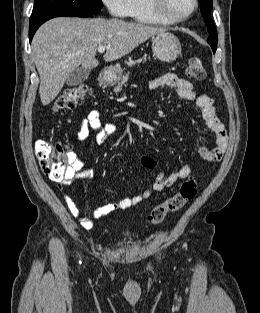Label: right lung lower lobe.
<instances>
[{
    "instance_id": "obj_1",
    "label": "right lung lower lobe",
    "mask_w": 260,
    "mask_h": 313,
    "mask_svg": "<svg viewBox=\"0 0 260 313\" xmlns=\"http://www.w3.org/2000/svg\"><path fill=\"white\" fill-rule=\"evenodd\" d=\"M59 16H77V17H92L93 14H79V13H60V12H42L32 14L30 17L29 24V39L30 42L40 25H42L45 21Z\"/></svg>"
}]
</instances>
